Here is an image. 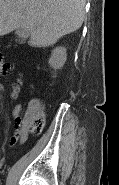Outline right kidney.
Masks as SVG:
<instances>
[{"label": "right kidney", "mask_w": 119, "mask_h": 185, "mask_svg": "<svg viewBox=\"0 0 119 185\" xmlns=\"http://www.w3.org/2000/svg\"><path fill=\"white\" fill-rule=\"evenodd\" d=\"M66 59V49L64 47H57L52 51V55L48 63L54 70H57L63 67L66 62Z\"/></svg>", "instance_id": "right-kidney-1"}]
</instances>
